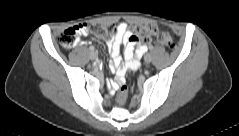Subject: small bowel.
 Here are the masks:
<instances>
[{"mask_svg": "<svg viewBox=\"0 0 239 136\" xmlns=\"http://www.w3.org/2000/svg\"><path fill=\"white\" fill-rule=\"evenodd\" d=\"M107 45L112 57L110 67L113 70H117V74L120 78L123 77L127 71L137 68L141 56L147 53V46L134 40L133 34L128 30V26L125 22L117 24L115 34L108 39ZM122 48L123 58L126 61L124 65H121L122 57L120 52Z\"/></svg>", "mask_w": 239, "mask_h": 136, "instance_id": "1", "label": "small bowel"}]
</instances>
